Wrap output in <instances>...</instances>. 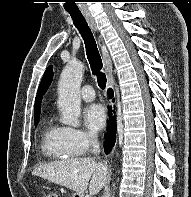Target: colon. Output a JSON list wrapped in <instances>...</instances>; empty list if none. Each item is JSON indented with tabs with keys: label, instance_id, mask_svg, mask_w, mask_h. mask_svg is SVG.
Wrapping results in <instances>:
<instances>
[{
	"label": "colon",
	"instance_id": "1",
	"mask_svg": "<svg viewBox=\"0 0 191 197\" xmlns=\"http://www.w3.org/2000/svg\"><path fill=\"white\" fill-rule=\"evenodd\" d=\"M42 197H55V195L49 192H42Z\"/></svg>",
	"mask_w": 191,
	"mask_h": 197
}]
</instances>
